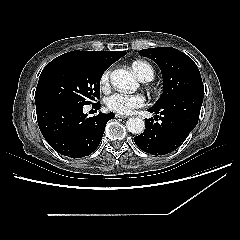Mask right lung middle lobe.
<instances>
[{"instance_id":"1","label":"right lung middle lobe","mask_w":240,"mask_h":240,"mask_svg":"<svg viewBox=\"0 0 240 240\" xmlns=\"http://www.w3.org/2000/svg\"><path fill=\"white\" fill-rule=\"evenodd\" d=\"M106 67L82 54L68 52L46 65L35 92V103L68 99L82 105L100 97V80Z\"/></svg>"}]
</instances>
